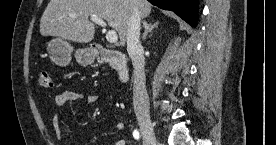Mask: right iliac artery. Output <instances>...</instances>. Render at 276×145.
Masks as SVG:
<instances>
[{
	"mask_svg": "<svg viewBox=\"0 0 276 145\" xmlns=\"http://www.w3.org/2000/svg\"><path fill=\"white\" fill-rule=\"evenodd\" d=\"M133 137L137 140L140 138V133L137 129L133 131Z\"/></svg>",
	"mask_w": 276,
	"mask_h": 145,
	"instance_id": "right-iliac-artery-1",
	"label": "right iliac artery"
}]
</instances>
